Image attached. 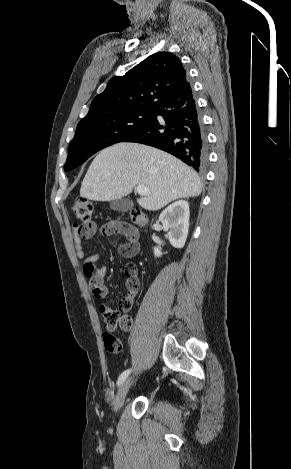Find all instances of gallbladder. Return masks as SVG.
<instances>
[{"label":"gallbladder","instance_id":"1","mask_svg":"<svg viewBox=\"0 0 291 469\" xmlns=\"http://www.w3.org/2000/svg\"><path fill=\"white\" fill-rule=\"evenodd\" d=\"M133 207V202L129 199H116L110 202V208L114 211L126 212Z\"/></svg>","mask_w":291,"mask_h":469}]
</instances>
